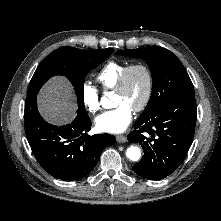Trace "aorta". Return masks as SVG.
Wrapping results in <instances>:
<instances>
[{
  "label": "aorta",
  "instance_id": "1",
  "mask_svg": "<svg viewBox=\"0 0 221 221\" xmlns=\"http://www.w3.org/2000/svg\"><path fill=\"white\" fill-rule=\"evenodd\" d=\"M101 105L104 108L111 107V101L107 97L101 98ZM126 156L132 161H138L141 157V150L137 146H131L126 151Z\"/></svg>",
  "mask_w": 221,
  "mask_h": 221
}]
</instances>
